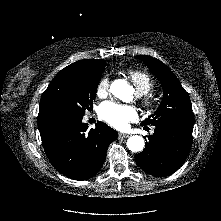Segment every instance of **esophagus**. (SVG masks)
Wrapping results in <instances>:
<instances>
[{
	"instance_id": "esophagus-1",
	"label": "esophagus",
	"mask_w": 221,
	"mask_h": 221,
	"mask_svg": "<svg viewBox=\"0 0 221 221\" xmlns=\"http://www.w3.org/2000/svg\"><path fill=\"white\" fill-rule=\"evenodd\" d=\"M118 137H119L120 139H122V138H128L129 135H128V134H124V133H120V134L118 135Z\"/></svg>"
}]
</instances>
